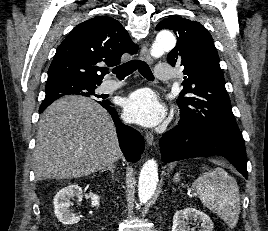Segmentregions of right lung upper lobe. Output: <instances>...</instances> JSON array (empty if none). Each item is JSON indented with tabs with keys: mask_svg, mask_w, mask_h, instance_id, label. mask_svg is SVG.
Here are the masks:
<instances>
[{
	"mask_svg": "<svg viewBox=\"0 0 268 231\" xmlns=\"http://www.w3.org/2000/svg\"><path fill=\"white\" fill-rule=\"evenodd\" d=\"M134 44L124 27L114 18L99 16L78 24L58 47L48 70L47 83L70 80L100 85L107 72L99 63L112 67L120 63L122 54L136 53ZM54 100H44V110Z\"/></svg>",
	"mask_w": 268,
	"mask_h": 231,
	"instance_id": "cb5924a9",
	"label": "right lung upper lobe"
}]
</instances>
